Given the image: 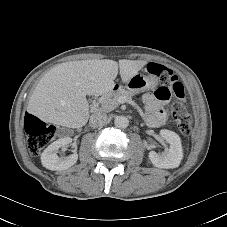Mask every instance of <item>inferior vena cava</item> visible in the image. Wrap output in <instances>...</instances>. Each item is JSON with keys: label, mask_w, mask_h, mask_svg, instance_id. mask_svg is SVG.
I'll return each instance as SVG.
<instances>
[{"label": "inferior vena cava", "mask_w": 227, "mask_h": 227, "mask_svg": "<svg viewBox=\"0 0 227 227\" xmlns=\"http://www.w3.org/2000/svg\"><path fill=\"white\" fill-rule=\"evenodd\" d=\"M107 122V115L102 112H97L95 114H92L89 120V124L91 127L97 128L102 127Z\"/></svg>", "instance_id": "1"}]
</instances>
